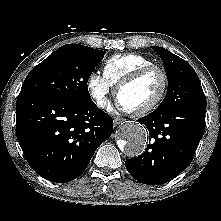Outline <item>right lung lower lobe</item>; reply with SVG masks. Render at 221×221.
<instances>
[{"instance_id":"right-lung-lower-lobe-1","label":"right lung lower lobe","mask_w":221,"mask_h":221,"mask_svg":"<svg viewBox=\"0 0 221 221\" xmlns=\"http://www.w3.org/2000/svg\"><path fill=\"white\" fill-rule=\"evenodd\" d=\"M112 132V118L93 101L31 94L17 98L19 144L31 168L49 181L66 183L77 178Z\"/></svg>"}]
</instances>
